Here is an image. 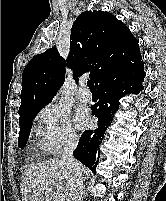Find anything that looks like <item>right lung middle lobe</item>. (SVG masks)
Returning <instances> with one entry per match:
<instances>
[{
  "mask_svg": "<svg viewBox=\"0 0 166 201\" xmlns=\"http://www.w3.org/2000/svg\"><path fill=\"white\" fill-rule=\"evenodd\" d=\"M39 111L40 110L27 113L19 118L20 132L18 139V147H25L31 131V121Z\"/></svg>",
  "mask_w": 166,
  "mask_h": 201,
  "instance_id": "obj_1",
  "label": "right lung middle lobe"
}]
</instances>
